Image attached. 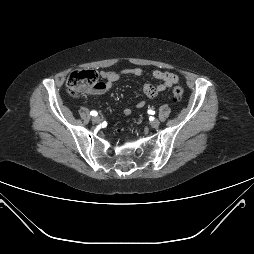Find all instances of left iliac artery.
I'll use <instances>...</instances> for the list:
<instances>
[{"instance_id": "obj_1", "label": "left iliac artery", "mask_w": 254, "mask_h": 254, "mask_svg": "<svg viewBox=\"0 0 254 254\" xmlns=\"http://www.w3.org/2000/svg\"><path fill=\"white\" fill-rule=\"evenodd\" d=\"M148 113L153 115V114H155V111L154 110H148Z\"/></svg>"}]
</instances>
